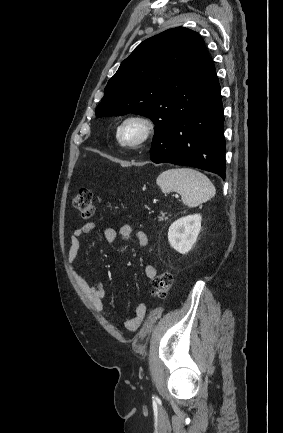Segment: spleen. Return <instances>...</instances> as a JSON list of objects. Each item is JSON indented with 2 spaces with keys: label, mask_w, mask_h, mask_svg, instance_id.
<instances>
[{
  "label": "spleen",
  "mask_w": 283,
  "mask_h": 433,
  "mask_svg": "<svg viewBox=\"0 0 283 433\" xmlns=\"http://www.w3.org/2000/svg\"><path fill=\"white\" fill-rule=\"evenodd\" d=\"M162 192H179L183 204L198 206L214 196L216 190L208 176L193 168H169L156 180Z\"/></svg>",
  "instance_id": "obj_1"
}]
</instances>
